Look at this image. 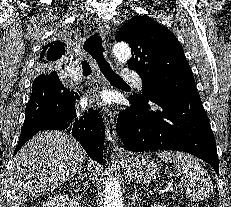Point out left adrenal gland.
Here are the masks:
<instances>
[{
    "instance_id": "1",
    "label": "left adrenal gland",
    "mask_w": 231,
    "mask_h": 207,
    "mask_svg": "<svg viewBox=\"0 0 231 207\" xmlns=\"http://www.w3.org/2000/svg\"><path fill=\"white\" fill-rule=\"evenodd\" d=\"M139 194L135 188L134 193L132 194V202L135 203L136 199L138 198Z\"/></svg>"
}]
</instances>
